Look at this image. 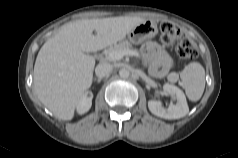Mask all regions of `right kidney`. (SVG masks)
Returning <instances> with one entry per match:
<instances>
[{
  "instance_id": "obj_1",
  "label": "right kidney",
  "mask_w": 238,
  "mask_h": 158,
  "mask_svg": "<svg viewBox=\"0 0 238 158\" xmlns=\"http://www.w3.org/2000/svg\"><path fill=\"white\" fill-rule=\"evenodd\" d=\"M93 94L91 92H86L80 99L77 105V112L79 114H84L89 111L92 105Z\"/></svg>"
}]
</instances>
